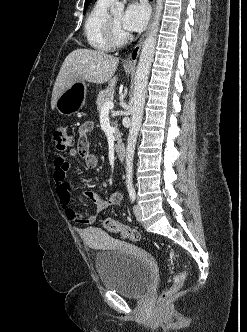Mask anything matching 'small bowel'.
I'll list each match as a JSON object with an SVG mask.
<instances>
[{
  "label": "small bowel",
  "instance_id": "obj_1",
  "mask_svg": "<svg viewBox=\"0 0 247 332\" xmlns=\"http://www.w3.org/2000/svg\"><path fill=\"white\" fill-rule=\"evenodd\" d=\"M94 124L92 121L83 123L78 130L79 142L77 147L68 151L67 158L58 156L55 158L53 178L55 182V190L59 199V202L67 216V218L75 223L81 225H91L95 222L99 213L106 210L111 206L119 205L122 200V195L118 191H112L106 200H98L96 196L86 191L84 196L96 200V211L94 214L85 216L79 213L72 206L71 187L66 180L67 173L70 169L69 160L82 158L87 168H95L98 164L97 157L90 151V145L88 142V135L93 129Z\"/></svg>",
  "mask_w": 247,
  "mask_h": 332
}]
</instances>
